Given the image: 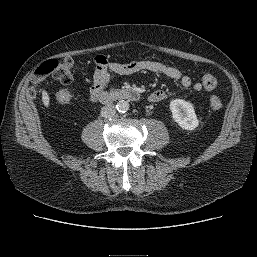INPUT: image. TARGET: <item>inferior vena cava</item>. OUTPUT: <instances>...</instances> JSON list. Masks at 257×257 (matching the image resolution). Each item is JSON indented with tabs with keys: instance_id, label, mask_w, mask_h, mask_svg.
<instances>
[{
	"instance_id": "obj_1",
	"label": "inferior vena cava",
	"mask_w": 257,
	"mask_h": 257,
	"mask_svg": "<svg viewBox=\"0 0 257 257\" xmlns=\"http://www.w3.org/2000/svg\"><path fill=\"white\" fill-rule=\"evenodd\" d=\"M116 113L115 105L108 103L107 105L101 108V116L104 118L113 117Z\"/></svg>"
}]
</instances>
